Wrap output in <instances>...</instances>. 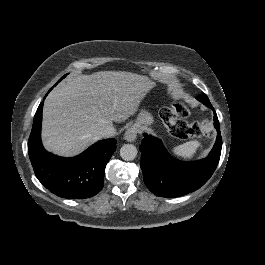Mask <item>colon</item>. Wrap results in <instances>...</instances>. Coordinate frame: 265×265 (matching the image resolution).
Instances as JSON below:
<instances>
[{
	"label": "colon",
	"mask_w": 265,
	"mask_h": 265,
	"mask_svg": "<svg viewBox=\"0 0 265 265\" xmlns=\"http://www.w3.org/2000/svg\"><path fill=\"white\" fill-rule=\"evenodd\" d=\"M188 114V108L183 103L177 102L171 107L164 108L160 116L170 133L180 139L211 134L206 122L188 123L185 120Z\"/></svg>",
	"instance_id": "1"
}]
</instances>
